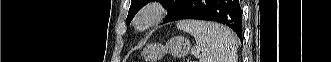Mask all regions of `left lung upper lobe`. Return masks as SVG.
Here are the masks:
<instances>
[{"label": "left lung upper lobe", "instance_id": "1", "mask_svg": "<svg viewBox=\"0 0 331 62\" xmlns=\"http://www.w3.org/2000/svg\"><path fill=\"white\" fill-rule=\"evenodd\" d=\"M153 0H131V6L128 12L126 21L129 22L133 19L135 14L147 3ZM155 1V0H154ZM158 1V0H156ZM186 0H159L163 6L168 9V15L166 16L164 23L168 22L169 19L181 8Z\"/></svg>", "mask_w": 331, "mask_h": 62}]
</instances>
